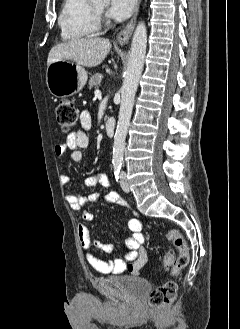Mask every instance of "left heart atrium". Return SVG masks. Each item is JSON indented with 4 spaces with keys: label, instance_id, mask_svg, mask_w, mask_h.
Here are the masks:
<instances>
[{
    "label": "left heart atrium",
    "instance_id": "obj_1",
    "mask_svg": "<svg viewBox=\"0 0 240 329\" xmlns=\"http://www.w3.org/2000/svg\"><path fill=\"white\" fill-rule=\"evenodd\" d=\"M136 0H111L107 15L118 21L127 19L135 6Z\"/></svg>",
    "mask_w": 240,
    "mask_h": 329
}]
</instances>
